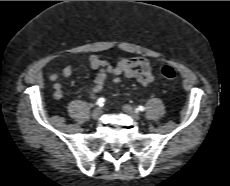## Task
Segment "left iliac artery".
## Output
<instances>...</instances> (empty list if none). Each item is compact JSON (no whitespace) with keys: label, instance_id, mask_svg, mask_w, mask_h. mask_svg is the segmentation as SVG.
Here are the masks:
<instances>
[{"label":"left iliac artery","instance_id":"1","mask_svg":"<svg viewBox=\"0 0 230 186\" xmlns=\"http://www.w3.org/2000/svg\"><path fill=\"white\" fill-rule=\"evenodd\" d=\"M137 110H139V111H144V110H145V107H144V106H138Z\"/></svg>","mask_w":230,"mask_h":186}]
</instances>
